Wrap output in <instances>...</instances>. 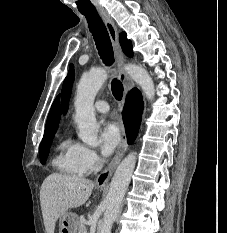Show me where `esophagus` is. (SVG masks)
<instances>
[{
	"label": "esophagus",
	"instance_id": "34e87169",
	"mask_svg": "<svg viewBox=\"0 0 227 233\" xmlns=\"http://www.w3.org/2000/svg\"><path fill=\"white\" fill-rule=\"evenodd\" d=\"M98 13L100 17L102 18L107 28V31L109 33L112 46H113V50H114V54H115V57H116V60L119 66V79L123 83L125 92H127L134 87V83L123 69L125 58H124V54L120 47L117 28L114 24V21L110 17V15L104 9H99ZM127 149H128V143L126 140L125 132L123 131L122 136H121V142L117 148L115 156L113 157L111 162L108 164V166L105 168V170L102 173H100L98 177L96 178V185L98 187H104L108 184L111 176L113 175L116 167L118 166L123 156L125 155Z\"/></svg>",
	"mask_w": 227,
	"mask_h": 233
}]
</instances>
